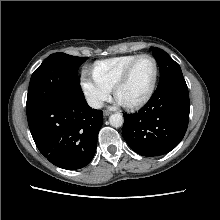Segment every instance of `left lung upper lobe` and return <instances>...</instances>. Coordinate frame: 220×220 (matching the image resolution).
Returning a JSON list of instances; mask_svg holds the SVG:
<instances>
[{
  "mask_svg": "<svg viewBox=\"0 0 220 220\" xmlns=\"http://www.w3.org/2000/svg\"><path fill=\"white\" fill-rule=\"evenodd\" d=\"M151 50L160 69L158 87L171 81L184 78L180 66L165 51L156 47H151Z\"/></svg>",
  "mask_w": 220,
  "mask_h": 220,
  "instance_id": "5c2ea615",
  "label": "left lung upper lobe"
}]
</instances>
